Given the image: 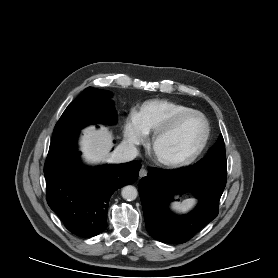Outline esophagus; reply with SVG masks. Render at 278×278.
Wrapping results in <instances>:
<instances>
[{
  "mask_svg": "<svg viewBox=\"0 0 278 278\" xmlns=\"http://www.w3.org/2000/svg\"><path fill=\"white\" fill-rule=\"evenodd\" d=\"M147 176V170L145 168H141L139 171V178H143Z\"/></svg>",
  "mask_w": 278,
  "mask_h": 278,
  "instance_id": "obj_1",
  "label": "esophagus"
}]
</instances>
